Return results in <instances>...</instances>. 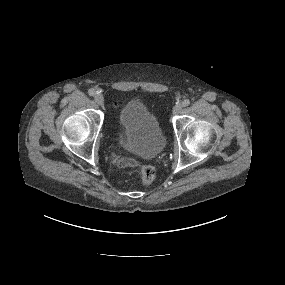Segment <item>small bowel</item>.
Returning a JSON list of instances; mask_svg holds the SVG:
<instances>
[{
	"label": "small bowel",
	"instance_id": "obj_1",
	"mask_svg": "<svg viewBox=\"0 0 285 285\" xmlns=\"http://www.w3.org/2000/svg\"><path fill=\"white\" fill-rule=\"evenodd\" d=\"M127 161H128V160L121 161V163H120V167H126V166H129V165L127 164Z\"/></svg>",
	"mask_w": 285,
	"mask_h": 285
}]
</instances>
